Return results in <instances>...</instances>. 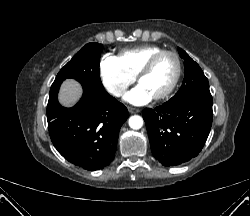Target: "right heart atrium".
Listing matches in <instances>:
<instances>
[{"mask_svg":"<svg viewBox=\"0 0 250 216\" xmlns=\"http://www.w3.org/2000/svg\"><path fill=\"white\" fill-rule=\"evenodd\" d=\"M99 70L105 89L114 97H121L135 82V76L130 74L119 59L111 54L102 57Z\"/></svg>","mask_w":250,"mask_h":216,"instance_id":"d8ad5b80","label":"right heart atrium"}]
</instances>
